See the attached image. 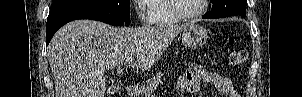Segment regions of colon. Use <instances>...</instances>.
Instances as JSON below:
<instances>
[{
  "label": "colon",
  "mask_w": 302,
  "mask_h": 97,
  "mask_svg": "<svg viewBox=\"0 0 302 97\" xmlns=\"http://www.w3.org/2000/svg\"><path fill=\"white\" fill-rule=\"evenodd\" d=\"M231 42H234L233 39H231ZM247 58V52L243 47H238L236 49H234L231 53H230V63L233 65H241L245 62Z\"/></svg>",
  "instance_id": "5ec220e1"
}]
</instances>
